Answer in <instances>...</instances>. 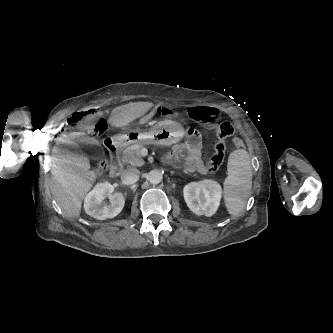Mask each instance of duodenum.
I'll list each match as a JSON object with an SVG mask.
<instances>
[{
  "mask_svg": "<svg viewBox=\"0 0 333 333\" xmlns=\"http://www.w3.org/2000/svg\"><path fill=\"white\" fill-rule=\"evenodd\" d=\"M107 149L110 155V175L112 177L118 176L122 171V164L119 159V153L121 149V143L117 141H108Z\"/></svg>",
  "mask_w": 333,
  "mask_h": 333,
  "instance_id": "duodenum-1",
  "label": "duodenum"
}]
</instances>
